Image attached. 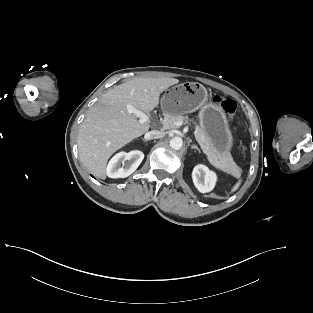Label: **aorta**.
I'll return each instance as SVG.
<instances>
[{
  "label": "aorta",
  "instance_id": "obj_1",
  "mask_svg": "<svg viewBox=\"0 0 313 313\" xmlns=\"http://www.w3.org/2000/svg\"><path fill=\"white\" fill-rule=\"evenodd\" d=\"M182 145H183V140L180 137L176 136L170 140V147L172 149L179 150L181 149Z\"/></svg>",
  "mask_w": 313,
  "mask_h": 313
}]
</instances>
